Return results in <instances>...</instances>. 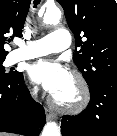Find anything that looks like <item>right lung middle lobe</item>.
<instances>
[{
    "label": "right lung middle lobe",
    "instance_id": "obj_1",
    "mask_svg": "<svg viewBox=\"0 0 117 136\" xmlns=\"http://www.w3.org/2000/svg\"><path fill=\"white\" fill-rule=\"evenodd\" d=\"M4 60L5 58H0V79L12 78L16 76L17 74H19V72L17 71H14V72L10 71L9 73H6L4 67L2 66V63Z\"/></svg>",
    "mask_w": 117,
    "mask_h": 136
}]
</instances>
